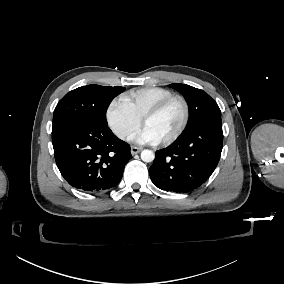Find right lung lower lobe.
<instances>
[{"instance_id":"obj_1","label":"right lung lower lobe","mask_w":284,"mask_h":284,"mask_svg":"<svg viewBox=\"0 0 284 284\" xmlns=\"http://www.w3.org/2000/svg\"><path fill=\"white\" fill-rule=\"evenodd\" d=\"M56 164L73 187L97 193L117 186L132 158L130 146L108 126L74 121L52 133Z\"/></svg>"}]
</instances>
